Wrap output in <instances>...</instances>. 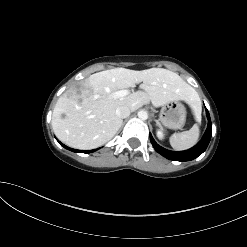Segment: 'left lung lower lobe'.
<instances>
[{
    "instance_id": "0a47b994",
    "label": "left lung lower lobe",
    "mask_w": 247,
    "mask_h": 247,
    "mask_svg": "<svg viewBox=\"0 0 247 247\" xmlns=\"http://www.w3.org/2000/svg\"><path fill=\"white\" fill-rule=\"evenodd\" d=\"M206 114H207V118H208V128L206 130V133L204 134L202 140L193 148L189 149V150H185V151H180V152H173L167 149H164L163 147L159 146L155 140L153 139V137L150 134V141L154 147V149L160 153L161 155H163L164 157L173 160V161H190L193 160L195 158H197L199 155H201L207 148L210 139H211V135H212V123L210 120V115L208 110L206 109Z\"/></svg>"
}]
</instances>
